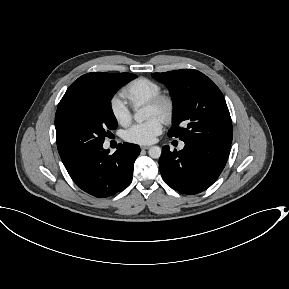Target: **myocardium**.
Here are the masks:
<instances>
[{"mask_svg":"<svg viewBox=\"0 0 289 289\" xmlns=\"http://www.w3.org/2000/svg\"><path fill=\"white\" fill-rule=\"evenodd\" d=\"M146 106L153 108L158 117L164 121H169L174 110V101L171 96L159 94L149 100Z\"/></svg>","mask_w":289,"mask_h":289,"instance_id":"1","label":"myocardium"}]
</instances>
